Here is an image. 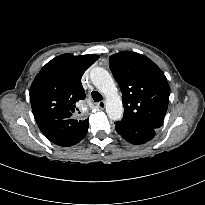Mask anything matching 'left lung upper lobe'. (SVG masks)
Instances as JSON below:
<instances>
[{"instance_id":"1","label":"left lung upper lobe","mask_w":205,"mask_h":205,"mask_svg":"<svg viewBox=\"0 0 205 205\" xmlns=\"http://www.w3.org/2000/svg\"><path fill=\"white\" fill-rule=\"evenodd\" d=\"M109 66L122 92L123 118L161 127L170 95L162 70L148 57L131 51L110 56Z\"/></svg>"}]
</instances>
